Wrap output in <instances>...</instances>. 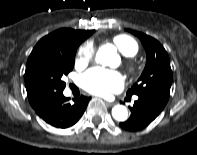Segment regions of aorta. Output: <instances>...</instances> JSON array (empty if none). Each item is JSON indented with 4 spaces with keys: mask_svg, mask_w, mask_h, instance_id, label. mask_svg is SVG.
<instances>
[{
    "mask_svg": "<svg viewBox=\"0 0 197 155\" xmlns=\"http://www.w3.org/2000/svg\"><path fill=\"white\" fill-rule=\"evenodd\" d=\"M114 57H117L114 47L111 45H104L98 50L96 61L103 65H109ZM112 116L117 121H125L128 117V110L123 105H116L112 109Z\"/></svg>",
    "mask_w": 197,
    "mask_h": 155,
    "instance_id": "1",
    "label": "aorta"
}]
</instances>
